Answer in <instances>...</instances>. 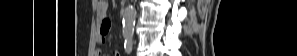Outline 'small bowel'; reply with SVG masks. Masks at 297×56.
Here are the masks:
<instances>
[{
  "label": "small bowel",
  "instance_id": "obj_1",
  "mask_svg": "<svg viewBox=\"0 0 297 56\" xmlns=\"http://www.w3.org/2000/svg\"><path fill=\"white\" fill-rule=\"evenodd\" d=\"M107 2L99 1L98 2V16L100 18V31H99V42L104 43L106 41L107 35L109 33L111 23L107 18ZM96 55H99V51L96 52ZM115 56H120L119 53H116Z\"/></svg>",
  "mask_w": 297,
  "mask_h": 56
}]
</instances>
